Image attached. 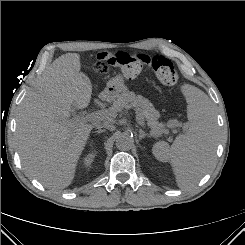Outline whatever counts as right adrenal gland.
Wrapping results in <instances>:
<instances>
[{"mask_svg": "<svg viewBox=\"0 0 245 245\" xmlns=\"http://www.w3.org/2000/svg\"><path fill=\"white\" fill-rule=\"evenodd\" d=\"M105 130H103V129H99V130H97V131H95L96 133H103Z\"/></svg>", "mask_w": 245, "mask_h": 245, "instance_id": "2a0ac1e0", "label": "right adrenal gland"}]
</instances>
